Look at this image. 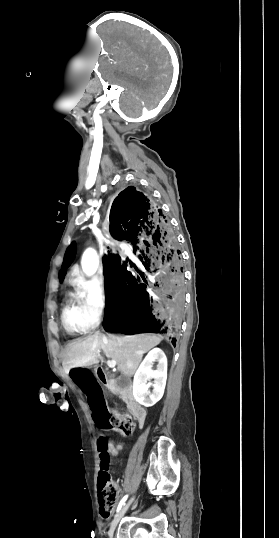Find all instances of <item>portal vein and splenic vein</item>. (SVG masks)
I'll return each instance as SVG.
<instances>
[{"mask_svg":"<svg viewBox=\"0 0 279 538\" xmlns=\"http://www.w3.org/2000/svg\"><path fill=\"white\" fill-rule=\"evenodd\" d=\"M137 354H139V352H137ZM103 359L106 360V365H108L109 368H115V366H116L115 360H108V357H106V356H103Z\"/></svg>","mask_w":279,"mask_h":538,"instance_id":"18ae733b","label":"portal vein and splenic vein"}]
</instances>
